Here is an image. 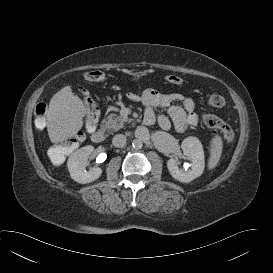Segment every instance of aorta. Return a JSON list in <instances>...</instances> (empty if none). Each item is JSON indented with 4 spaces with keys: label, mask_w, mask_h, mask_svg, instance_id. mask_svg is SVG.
I'll return each mask as SVG.
<instances>
[{
    "label": "aorta",
    "mask_w": 273,
    "mask_h": 273,
    "mask_svg": "<svg viewBox=\"0 0 273 273\" xmlns=\"http://www.w3.org/2000/svg\"><path fill=\"white\" fill-rule=\"evenodd\" d=\"M133 148L140 149L143 146V142L141 139H134L132 143Z\"/></svg>",
    "instance_id": "obj_1"
}]
</instances>
